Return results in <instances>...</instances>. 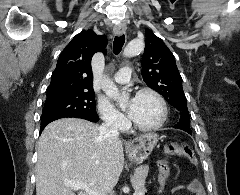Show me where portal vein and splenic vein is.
<instances>
[{
	"instance_id": "18ae733b",
	"label": "portal vein and splenic vein",
	"mask_w": 240,
	"mask_h": 195,
	"mask_svg": "<svg viewBox=\"0 0 240 195\" xmlns=\"http://www.w3.org/2000/svg\"><path fill=\"white\" fill-rule=\"evenodd\" d=\"M65 185H69L71 189H85L89 195H103V193H98V191H94V189H91L89 187L88 183H84V181H65ZM138 193H133V195H142L143 193H139L140 191H137Z\"/></svg>"
}]
</instances>
